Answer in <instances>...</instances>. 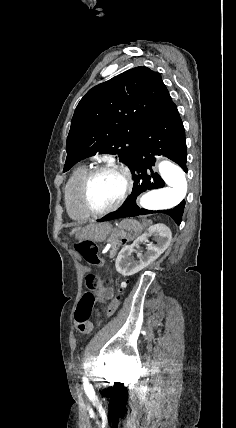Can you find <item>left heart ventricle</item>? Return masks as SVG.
<instances>
[{
  "instance_id": "b2bd125f",
  "label": "left heart ventricle",
  "mask_w": 236,
  "mask_h": 428,
  "mask_svg": "<svg viewBox=\"0 0 236 428\" xmlns=\"http://www.w3.org/2000/svg\"><path fill=\"white\" fill-rule=\"evenodd\" d=\"M125 188L126 183L121 173L113 170L102 172L90 184V202L98 209L107 208L120 200Z\"/></svg>"
}]
</instances>
